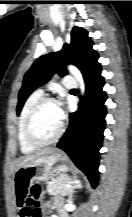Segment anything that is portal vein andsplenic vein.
Instances as JSON below:
<instances>
[{
    "label": "portal vein and splenic vein",
    "mask_w": 132,
    "mask_h": 217,
    "mask_svg": "<svg viewBox=\"0 0 132 217\" xmlns=\"http://www.w3.org/2000/svg\"><path fill=\"white\" fill-rule=\"evenodd\" d=\"M70 187H71V184H67V185H66V188H70Z\"/></svg>",
    "instance_id": "18ae733b"
}]
</instances>
